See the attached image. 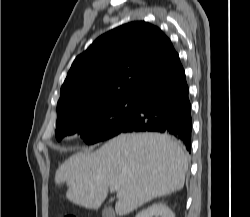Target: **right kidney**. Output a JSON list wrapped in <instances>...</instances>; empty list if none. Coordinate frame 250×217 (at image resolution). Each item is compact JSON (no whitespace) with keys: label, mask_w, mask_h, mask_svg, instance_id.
Here are the masks:
<instances>
[{"label":"right kidney","mask_w":250,"mask_h":217,"mask_svg":"<svg viewBox=\"0 0 250 217\" xmlns=\"http://www.w3.org/2000/svg\"><path fill=\"white\" fill-rule=\"evenodd\" d=\"M136 217H175V214L166 204L160 202L142 210Z\"/></svg>","instance_id":"1"}]
</instances>
